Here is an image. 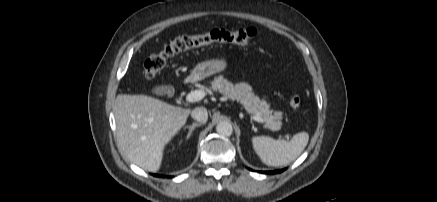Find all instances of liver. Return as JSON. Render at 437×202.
Instances as JSON below:
<instances>
[{
  "instance_id": "1",
  "label": "liver",
  "mask_w": 437,
  "mask_h": 202,
  "mask_svg": "<svg viewBox=\"0 0 437 202\" xmlns=\"http://www.w3.org/2000/svg\"><path fill=\"white\" fill-rule=\"evenodd\" d=\"M116 134L123 154L150 172L159 170L165 145L185 125L190 109L146 95H117Z\"/></svg>"
}]
</instances>
